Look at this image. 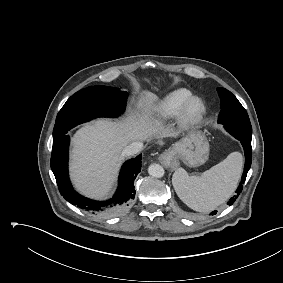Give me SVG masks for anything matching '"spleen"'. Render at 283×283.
<instances>
[{"instance_id": "spleen-1", "label": "spleen", "mask_w": 283, "mask_h": 283, "mask_svg": "<svg viewBox=\"0 0 283 283\" xmlns=\"http://www.w3.org/2000/svg\"><path fill=\"white\" fill-rule=\"evenodd\" d=\"M242 166V154L232 152L201 176H189L183 168H178L172 183L178 197L188 207L198 212H208L233 194Z\"/></svg>"}]
</instances>
